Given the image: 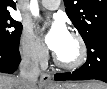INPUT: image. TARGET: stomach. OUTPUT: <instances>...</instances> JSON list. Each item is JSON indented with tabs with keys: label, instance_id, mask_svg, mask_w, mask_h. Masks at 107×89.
Returning <instances> with one entry per match:
<instances>
[{
	"label": "stomach",
	"instance_id": "0dacf381",
	"mask_svg": "<svg viewBox=\"0 0 107 89\" xmlns=\"http://www.w3.org/2000/svg\"><path fill=\"white\" fill-rule=\"evenodd\" d=\"M52 89H81L79 85H74L73 83H66L62 85H56Z\"/></svg>",
	"mask_w": 107,
	"mask_h": 89
}]
</instances>
